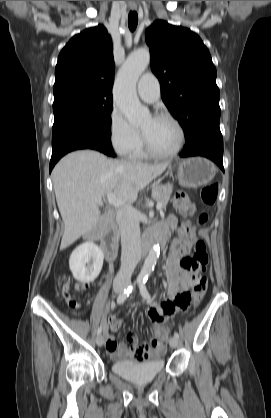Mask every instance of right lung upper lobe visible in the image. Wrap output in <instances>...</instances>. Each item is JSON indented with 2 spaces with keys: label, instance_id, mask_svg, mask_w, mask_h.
<instances>
[{
  "label": "right lung upper lobe",
  "instance_id": "1",
  "mask_svg": "<svg viewBox=\"0 0 271 418\" xmlns=\"http://www.w3.org/2000/svg\"><path fill=\"white\" fill-rule=\"evenodd\" d=\"M115 64L104 26L75 35L59 54L54 101L75 96L112 97Z\"/></svg>",
  "mask_w": 271,
  "mask_h": 418
}]
</instances>
